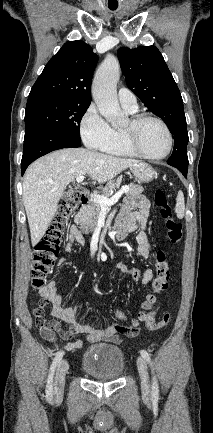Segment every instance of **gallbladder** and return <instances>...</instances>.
Segmentation results:
<instances>
[{"instance_id":"1","label":"gallbladder","mask_w":213,"mask_h":433,"mask_svg":"<svg viewBox=\"0 0 213 433\" xmlns=\"http://www.w3.org/2000/svg\"><path fill=\"white\" fill-rule=\"evenodd\" d=\"M66 196H67V193L63 194V197H66Z\"/></svg>"}]
</instances>
